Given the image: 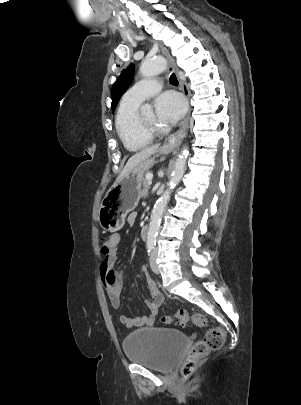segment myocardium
Returning a JSON list of instances; mask_svg holds the SVG:
<instances>
[{
  "mask_svg": "<svg viewBox=\"0 0 301 405\" xmlns=\"http://www.w3.org/2000/svg\"><path fill=\"white\" fill-rule=\"evenodd\" d=\"M136 125L138 130L144 135L154 137L161 134L164 129L158 125H147L145 124L139 115L136 117Z\"/></svg>",
  "mask_w": 301,
  "mask_h": 405,
  "instance_id": "obj_1",
  "label": "myocardium"
}]
</instances>
